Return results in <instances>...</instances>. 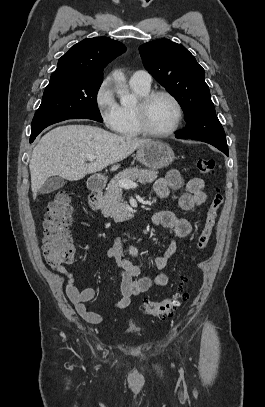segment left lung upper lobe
Here are the masks:
<instances>
[{"label":"left lung upper lobe","instance_id":"1","mask_svg":"<svg viewBox=\"0 0 265 407\" xmlns=\"http://www.w3.org/2000/svg\"><path fill=\"white\" fill-rule=\"evenodd\" d=\"M139 52L148 72L178 101L187 122L176 137L207 142L228 151L204 69L181 44L168 39L145 43Z\"/></svg>","mask_w":265,"mask_h":407}]
</instances>
